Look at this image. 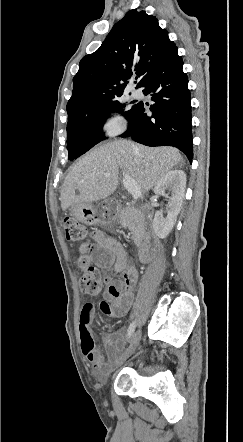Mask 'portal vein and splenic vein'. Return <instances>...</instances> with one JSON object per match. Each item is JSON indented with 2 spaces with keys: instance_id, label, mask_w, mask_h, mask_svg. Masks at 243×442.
<instances>
[{
  "instance_id": "1",
  "label": "portal vein and splenic vein",
  "mask_w": 243,
  "mask_h": 442,
  "mask_svg": "<svg viewBox=\"0 0 243 442\" xmlns=\"http://www.w3.org/2000/svg\"><path fill=\"white\" fill-rule=\"evenodd\" d=\"M123 184L127 191L132 194L134 199H137L140 196V187L138 183L130 177L129 174L124 175Z\"/></svg>"
}]
</instances>
